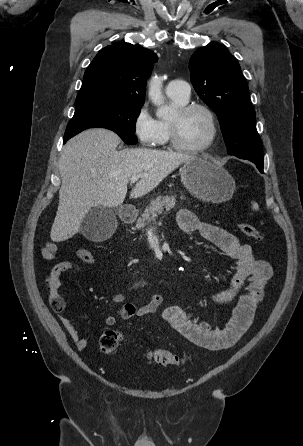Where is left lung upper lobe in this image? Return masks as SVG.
<instances>
[{"label": "left lung upper lobe", "instance_id": "5c2ea615", "mask_svg": "<svg viewBox=\"0 0 303 446\" xmlns=\"http://www.w3.org/2000/svg\"><path fill=\"white\" fill-rule=\"evenodd\" d=\"M191 83L218 116L228 154L264 164L255 110L237 59L218 44L198 49L189 62Z\"/></svg>", "mask_w": 303, "mask_h": 446}]
</instances>
